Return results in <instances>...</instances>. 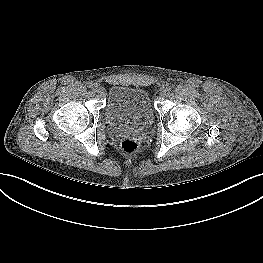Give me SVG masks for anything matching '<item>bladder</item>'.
Segmentation results:
<instances>
[{"label":"bladder","mask_w":263,"mask_h":263,"mask_svg":"<svg viewBox=\"0 0 263 263\" xmlns=\"http://www.w3.org/2000/svg\"><path fill=\"white\" fill-rule=\"evenodd\" d=\"M106 119L116 130L147 129L154 111L146 91L121 85L111 86L105 106Z\"/></svg>","instance_id":"1"}]
</instances>
